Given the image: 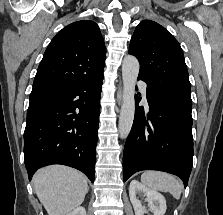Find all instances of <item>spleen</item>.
Masks as SVG:
<instances>
[{
  "label": "spleen",
  "mask_w": 223,
  "mask_h": 215,
  "mask_svg": "<svg viewBox=\"0 0 223 215\" xmlns=\"http://www.w3.org/2000/svg\"><path fill=\"white\" fill-rule=\"evenodd\" d=\"M141 181L144 185H148L151 189L157 191H170L176 199H179L183 185L179 179L170 173L164 171H144L141 175Z\"/></svg>",
  "instance_id": "obj_1"
}]
</instances>
